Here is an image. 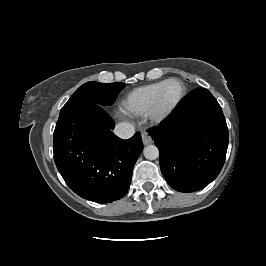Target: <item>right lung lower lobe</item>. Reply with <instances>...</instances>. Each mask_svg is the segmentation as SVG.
<instances>
[{
    "label": "right lung lower lobe",
    "mask_w": 266,
    "mask_h": 266,
    "mask_svg": "<svg viewBox=\"0 0 266 266\" xmlns=\"http://www.w3.org/2000/svg\"><path fill=\"white\" fill-rule=\"evenodd\" d=\"M101 105L78 107L54 130L53 152L58 171L80 197L110 203L128 191L134 165L143 150L140 133L123 140Z\"/></svg>",
    "instance_id": "obj_1"
}]
</instances>
